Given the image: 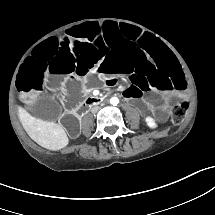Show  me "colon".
Masks as SVG:
<instances>
[{
	"mask_svg": "<svg viewBox=\"0 0 215 215\" xmlns=\"http://www.w3.org/2000/svg\"><path fill=\"white\" fill-rule=\"evenodd\" d=\"M188 108V102H182L173 108L171 114V121L174 125H180L184 121Z\"/></svg>",
	"mask_w": 215,
	"mask_h": 215,
	"instance_id": "colon-1",
	"label": "colon"
}]
</instances>
